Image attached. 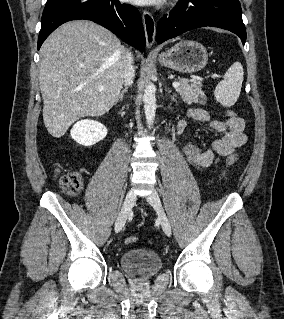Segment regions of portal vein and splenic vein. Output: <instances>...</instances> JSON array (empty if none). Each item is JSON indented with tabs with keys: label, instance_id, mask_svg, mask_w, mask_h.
I'll return each instance as SVG.
<instances>
[{
	"label": "portal vein and splenic vein",
	"instance_id": "obj_1",
	"mask_svg": "<svg viewBox=\"0 0 284 319\" xmlns=\"http://www.w3.org/2000/svg\"><path fill=\"white\" fill-rule=\"evenodd\" d=\"M181 85V83L180 82H177V81H175V82H173L172 83V86L174 87V88H178L179 86ZM104 87L103 86H100L99 87V89H103Z\"/></svg>",
	"mask_w": 284,
	"mask_h": 319
}]
</instances>
